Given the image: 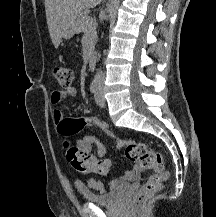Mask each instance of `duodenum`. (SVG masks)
Instances as JSON below:
<instances>
[{"mask_svg": "<svg viewBox=\"0 0 216 217\" xmlns=\"http://www.w3.org/2000/svg\"><path fill=\"white\" fill-rule=\"evenodd\" d=\"M88 64H89L90 69H93L95 67V64H96V55H95L94 50H90L89 51Z\"/></svg>", "mask_w": 216, "mask_h": 217, "instance_id": "duodenum-1", "label": "duodenum"}]
</instances>
